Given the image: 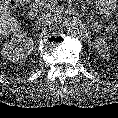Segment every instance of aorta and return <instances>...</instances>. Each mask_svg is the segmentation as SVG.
<instances>
[{
    "label": "aorta",
    "mask_w": 118,
    "mask_h": 118,
    "mask_svg": "<svg viewBox=\"0 0 118 118\" xmlns=\"http://www.w3.org/2000/svg\"><path fill=\"white\" fill-rule=\"evenodd\" d=\"M64 26L68 33L73 36H82L85 33V26L77 18H68L64 21Z\"/></svg>",
    "instance_id": "762f6f07"
}]
</instances>
